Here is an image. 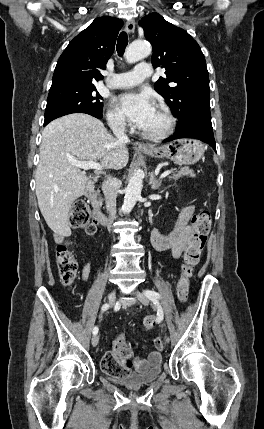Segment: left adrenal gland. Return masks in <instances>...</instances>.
Masks as SVG:
<instances>
[{
  "instance_id": "left-adrenal-gland-1",
  "label": "left adrenal gland",
  "mask_w": 264,
  "mask_h": 429,
  "mask_svg": "<svg viewBox=\"0 0 264 429\" xmlns=\"http://www.w3.org/2000/svg\"><path fill=\"white\" fill-rule=\"evenodd\" d=\"M149 185L151 186V188H152L153 190H157V189H159V187H160V185H161V181H160V180H157V179L155 178V176H154V173H153V172L150 174Z\"/></svg>"
}]
</instances>
